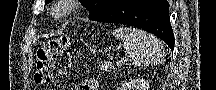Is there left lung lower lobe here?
<instances>
[{
    "mask_svg": "<svg viewBox=\"0 0 216 90\" xmlns=\"http://www.w3.org/2000/svg\"><path fill=\"white\" fill-rule=\"evenodd\" d=\"M94 21L121 23L144 29L174 49V35L170 25L169 3L166 0H124Z\"/></svg>",
    "mask_w": 216,
    "mask_h": 90,
    "instance_id": "1",
    "label": "left lung lower lobe"
}]
</instances>
